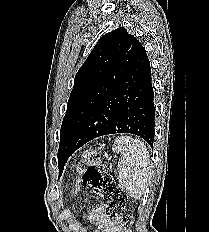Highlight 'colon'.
I'll return each instance as SVG.
<instances>
[{
    "label": "colon",
    "mask_w": 209,
    "mask_h": 232,
    "mask_svg": "<svg viewBox=\"0 0 209 232\" xmlns=\"http://www.w3.org/2000/svg\"><path fill=\"white\" fill-rule=\"evenodd\" d=\"M82 183L105 202L107 214L112 220L132 224V218L125 212L127 196L113 173L102 163L92 162L83 172Z\"/></svg>",
    "instance_id": "5ec220e1"
}]
</instances>
